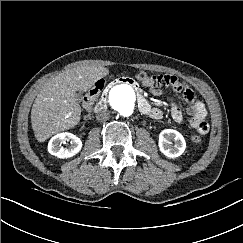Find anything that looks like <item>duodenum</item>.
<instances>
[{
	"label": "duodenum",
	"mask_w": 243,
	"mask_h": 243,
	"mask_svg": "<svg viewBox=\"0 0 243 243\" xmlns=\"http://www.w3.org/2000/svg\"><path fill=\"white\" fill-rule=\"evenodd\" d=\"M120 82H124V83H128L130 85L133 86L132 81L130 80H126V79H120L118 81V83ZM137 103H138V107L140 109V111L146 115H151L153 112V109L151 108L150 104L148 103V101L141 95V94H137ZM107 106V92H105L100 100L97 102V104L95 105V111H101L103 110L105 107Z\"/></svg>",
	"instance_id": "obj_1"
}]
</instances>
